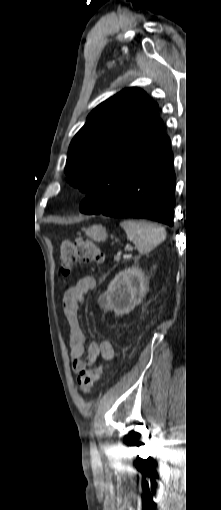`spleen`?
<instances>
[{"label": "spleen", "instance_id": "spleen-1", "mask_svg": "<svg viewBox=\"0 0 221 510\" xmlns=\"http://www.w3.org/2000/svg\"><path fill=\"white\" fill-rule=\"evenodd\" d=\"M120 225L141 254L149 253L166 238L163 227L148 221L128 219Z\"/></svg>", "mask_w": 221, "mask_h": 510}]
</instances>
